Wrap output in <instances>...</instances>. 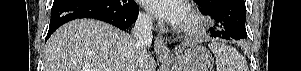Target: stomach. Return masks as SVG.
I'll return each mask as SVG.
<instances>
[{
    "label": "stomach",
    "instance_id": "obj_1",
    "mask_svg": "<svg viewBox=\"0 0 301 71\" xmlns=\"http://www.w3.org/2000/svg\"><path fill=\"white\" fill-rule=\"evenodd\" d=\"M170 66L172 71H213L214 58L207 49L193 46L174 57Z\"/></svg>",
    "mask_w": 301,
    "mask_h": 71
}]
</instances>
